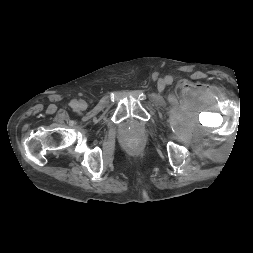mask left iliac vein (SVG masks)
Segmentation results:
<instances>
[{"instance_id": "obj_1", "label": "left iliac vein", "mask_w": 253, "mask_h": 253, "mask_svg": "<svg viewBox=\"0 0 253 253\" xmlns=\"http://www.w3.org/2000/svg\"><path fill=\"white\" fill-rule=\"evenodd\" d=\"M164 87H165L164 82H163V81H160V82L158 83V89L161 90V91H163V90H164Z\"/></svg>"}]
</instances>
